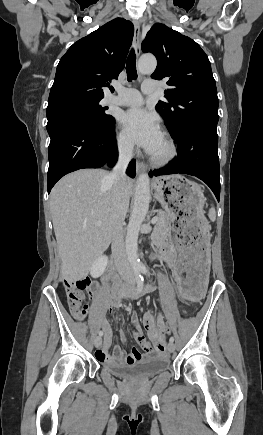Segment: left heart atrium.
I'll list each match as a JSON object with an SVG mask.
<instances>
[{
	"instance_id": "1",
	"label": "left heart atrium",
	"mask_w": 263,
	"mask_h": 435,
	"mask_svg": "<svg viewBox=\"0 0 263 435\" xmlns=\"http://www.w3.org/2000/svg\"><path fill=\"white\" fill-rule=\"evenodd\" d=\"M127 137L149 153H153L163 140L157 118L140 108L126 111L121 118Z\"/></svg>"
}]
</instances>
